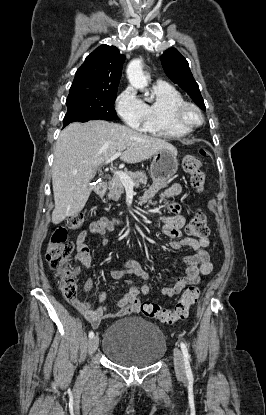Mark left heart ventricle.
<instances>
[{
  "mask_svg": "<svg viewBox=\"0 0 266 415\" xmlns=\"http://www.w3.org/2000/svg\"><path fill=\"white\" fill-rule=\"evenodd\" d=\"M189 118H190L192 121H196V120H197V116H196V114H195L194 112H190V113H189Z\"/></svg>",
  "mask_w": 266,
  "mask_h": 415,
  "instance_id": "1",
  "label": "left heart ventricle"
}]
</instances>
